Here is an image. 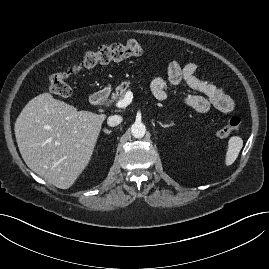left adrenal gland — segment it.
Instances as JSON below:
<instances>
[{"label": "left adrenal gland", "mask_w": 269, "mask_h": 269, "mask_svg": "<svg viewBox=\"0 0 269 269\" xmlns=\"http://www.w3.org/2000/svg\"><path fill=\"white\" fill-rule=\"evenodd\" d=\"M160 126L163 127V128H168V127L173 126V124L172 123H170V124H162V123H160Z\"/></svg>", "instance_id": "1"}]
</instances>
